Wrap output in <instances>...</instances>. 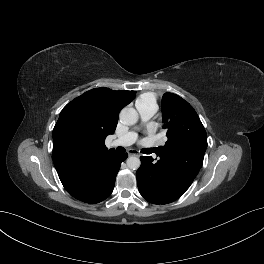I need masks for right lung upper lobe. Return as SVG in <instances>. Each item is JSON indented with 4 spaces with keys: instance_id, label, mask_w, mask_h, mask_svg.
<instances>
[{
    "instance_id": "cb5924a9",
    "label": "right lung upper lobe",
    "mask_w": 264,
    "mask_h": 264,
    "mask_svg": "<svg viewBox=\"0 0 264 264\" xmlns=\"http://www.w3.org/2000/svg\"><path fill=\"white\" fill-rule=\"evenodd\" d=\"M135 96L134 91L95 88L68 103L53 129V162L59 178L69 193L82 191L94 167L114 149L105 139L113 134L119 112ZM78 108L83 114V129L73 133L64 127L66 115Z\"/></svg>"
}]
</instances>
